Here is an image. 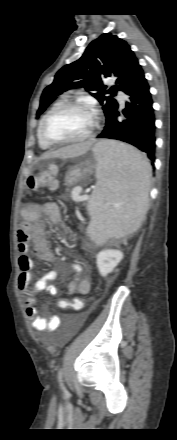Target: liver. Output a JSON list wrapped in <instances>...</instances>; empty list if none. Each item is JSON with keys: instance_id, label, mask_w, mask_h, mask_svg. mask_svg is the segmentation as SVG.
Listing matches in <instances>:
<instances>
[{"instance_id": "obj_1", "label": "liver", "mask_w": 177, "mask_h": 440, "mask_svg": "<svg viewBox=\"0 0 177 440\" xmlns=\"http://www.w3.org/2000/svg\"><path fill=\"white\" fill-rule=\"evenodd\" d=\"M93 145V141H86L82 143H77L69 145L58 149L57 151L49 152L45 154V158H74L85 154Z\"/></svg>"}]
</instances>
